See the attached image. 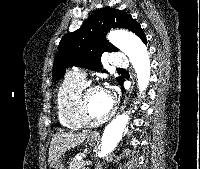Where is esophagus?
<instances>
[{"instance_id":"esophagus-1","label":"esophagus","mask_w":200,"mask_h":169,"mask_svg":"<svg viewBox=\"0 0 200 169\" xmlns=\"http://www.w3.org/2000/svg\"><path fill=\"white\" fill-rule=\"evenodd\" d=\"M131 91H132V89H130L129 91L126 92L125 98H124V101H123V104H122V106H121V108H120V112L126 107V104H127L128 99H129V97H130ZM99 135H100L99 132H96V131H94V132L91 134L92 137H99Z\"/></svg>"}]
</instances>
